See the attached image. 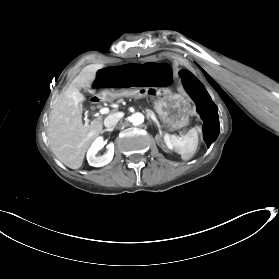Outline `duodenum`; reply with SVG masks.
<instances>
[{
  "mask_svg": "<svg viewBox=\"0 0 279 279\" xmlns=\"http://www.w3.org/2000/svg\"><path fill=\"white\" fill-rule=\"evenodd\" d=\"M149 95V90H139L137 93L134 91H121L120 93L114 92H103L100 95H92L89 98V105L92 108H99L102 105V102L107 100H112L114 98H145Z\"/></svg>",
  "mask_w": 279,
  "mask_h": 279,
  "instance_id": "410a0bca",
  "label": "duodenum"
}]
</instances>
